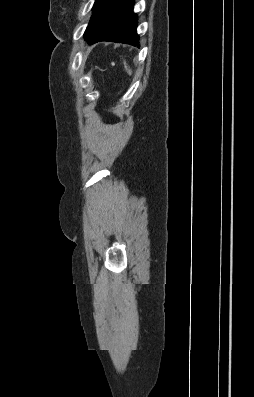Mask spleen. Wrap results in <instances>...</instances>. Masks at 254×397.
<instances>
[{"label":"spleen","instance_id":"spleen-1","mask_svg":"<svg viewBox=\"0 0 254 397\" xmlns=\"http://www.w3.org/2000/svg\"><path fill=\"white\" fill-rule=\"evenodd\" d=\"M124 67H125V70L127 71V73H128L129 75H131V74H132V71H131V69L128 67V65L126 64V62H124Z\"/></svg>","mask_w":254,"mask_h":397}]
</instances>
